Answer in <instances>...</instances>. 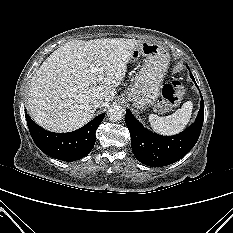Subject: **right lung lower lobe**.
I'll return each instance as SVG.
<instances>
[{"label": "right lung lower lobe", "mask_w": 233, "mask_h": 233, "mask_svg": "<svg viewBox=\"0 0 233 233\" xmlns=\"http://www.w3.org/2000/svg\"><path fill=\"white\" fill-rule=\"evenodd\" d=\"M105 113L95 117L80 129L68 133L47 131L25 115L30 134L46 155L62 161H76L88 155L96 141V129L103 121Z\"/></svg>", "instance_id": "right-lung-lower-lobe-1"}]
</instances>
